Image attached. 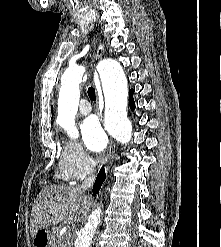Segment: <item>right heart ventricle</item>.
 Masks as SVG:
<instances>
[{
    "mask_svg": "<svg viewBox=\"0 0 221 247\" xmlns=\"http://www.w3.org/2000/svg\"><path fill=\"white\" fill-rule=\"evenodd\" d=\"M57 177L59 179H61V180H68V179H70V177L65 172L62 171L61 167L59 168Z\"/></svg>",
    "mask_w": 221,
    "mask_h": 247,
    "instance_id": "obj_1",
    "label": "right heart ventricle"
}]
</instances>
